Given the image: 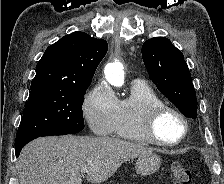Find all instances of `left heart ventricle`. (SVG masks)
Listing matches in <instances>:
<instances>
[{
    "label": "left heart ventricle",
    "mask_w": 224,
    "mask_h": 184,
    "mask_svg": "<svg viewBox=\"0 0 224 184\" xmlns=\"http://www.w3.org/2000/svg\"><path fill=\"white\" fill-rule=\"evenodd\" d=\"M156 131L158 136L165 141H174L183 134L181 121L172 114H165L157 123Z\"/></svg>",
    "instance_id": "left-heart-ventricle-1"
}]
</instances>
